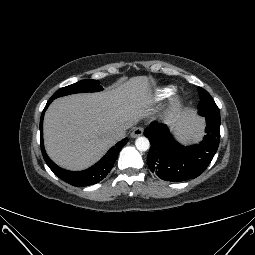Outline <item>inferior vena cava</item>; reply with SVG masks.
Returning <instances> with one entry per match:
<instances>
[{
  "label": "inferior vena cava",
  "instance_id": "1",
  "mask_svg": "<svg viewBox=\"0 0 255 255\" xmlns=\"http://www.w3.org/2000/svg\"><path fill=\"white\" fill-rule=\"evenodd\" d=\"M126 130H127L126 128H119V129H116L115 131H113V133H112L113 139L116 141H119V140L125 138Z\"/></svg>",
  "mask_w": 255,
  "mask_h": 255
}]
</instances>
